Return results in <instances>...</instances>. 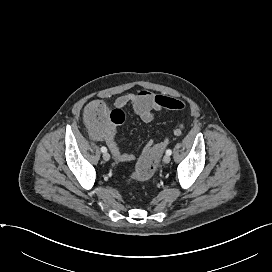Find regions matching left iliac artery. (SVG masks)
<instances>
[{
    "mask_svg": "<svg viewBox=\"0 0 272 272\" xmlns=\"http://www.w3.org/2000/svg\"><path fill=\"white\" fill-rule=\"evenodd\" d=\"M166 154H167V155H171V154H172L171 149H168V150L166 151Z\"/></svg>",
    "mask_w": 272,
    "mask_h": 272,
    "instance_id": "44dca946",
    "label": "left iliac artery"
}]
</instances>
